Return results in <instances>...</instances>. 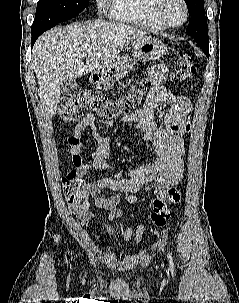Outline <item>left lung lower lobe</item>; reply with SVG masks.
<instances>
[{"label":"left lung lower lobe","mask_w":239,"mask_h":303,"mask_svg":"<svg viewBox=\"0 0 239 303\" xmlns=\"http://www.w3.org/2000/svg\"><path fill=\"white\" fill-rule=\"evenodd\" d=\"M197 44L204 51V53L209 57V43L208 44H204V43H201V42H197Z\"/></svg>","instance_id":"1"}]
</instances>
